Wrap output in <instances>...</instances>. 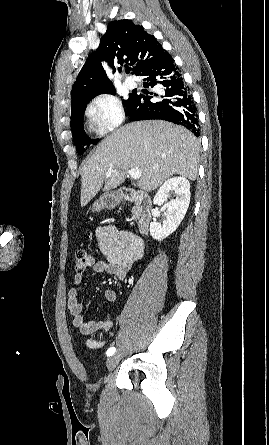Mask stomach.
Returning <instances> with one entry per match:
<instances>
[{
  "label": "stomach",
  "instance_id": "1",
  "mask_svg": "<svg viewBox=\"0 0 269 445\" xmlns=\"http://www.w3.org/2000/svg\"><path fill=\"white\" fill-rule=\"evenodd\" d=\"M121 196L118 192H106L100 196L92 205V211H100L102 209H112L119 205Z\"/></svg>",
  "mask_w": 269,
  "mask_h": 445
}]
</instances>
